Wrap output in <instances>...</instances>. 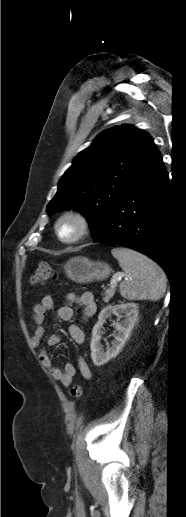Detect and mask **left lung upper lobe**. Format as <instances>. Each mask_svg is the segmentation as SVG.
I'll return each mask as SVG.
<instances>
[{
  "instance_id": "5c2ea615",
  "label": "left lung upper lobe",
  "mask_w": 186,
  "mask_h": 517,
  "mask_svg": "<svg viewBox=\"0 0 186 517\" xmlns=\"http://www.w3.org/2000/svg\"><path fill=\"white\" fill-rule=\"evenodd\" d=\"M159 153L152 138L133 126L102 132L64 173L47 213L65 207L82 212L95 238L112 208Z\"/></svg>"
}]
</instances>
